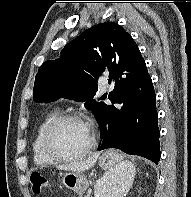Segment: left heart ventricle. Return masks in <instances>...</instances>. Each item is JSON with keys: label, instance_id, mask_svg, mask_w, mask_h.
<instances>
[{"label": "left heart ventricle", "instance_id": "obj_1", "mask_svg": "<svg viewBox=\"0 0 191 197\" xmlns=\"http://www.w3.org/2000/svg\"><path fill=\"white\" fill-rule=\"evenodd\" d=\"M91 140V130L85 123L69 121L61 125L54 133V148L63 155H76L82 152Z\"/></svg>", "mask_w": 191, "mask_h": 197}]
</instances>
